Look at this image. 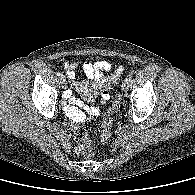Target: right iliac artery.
<instances>
[{"instance_id": "right-iliac-artery-1", "label": "right iliac artery", "mask_w": 195, "mask_h": 195, "mask_svg": "<svg viewBox=\"0 0 195 195\" xmlns=\"http://www.w3.org/2000/svg\"><path fill=\"white\" fill-rule=\"evenodd\" d=\"M58 77H62V74L60 72L57 73Z\"/></svg>"}]
</instances>
